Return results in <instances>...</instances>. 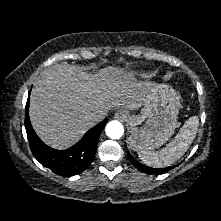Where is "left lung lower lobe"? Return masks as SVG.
Returning <instances> with one entry per match:
<instances>
[{"label":"left lung lower lobe","instance_id":"obj_1","mask_svg":"<svg viewBox=\"0 0 221 221\" xmlns=\"http://www.w3.org/2000/svg\"><path fill=\"white\" fill-rule=\"evenodd\" d=\"M128 158L130 160V162L138 169L140 170L141 172H144L146 174H158V173H165L173 168H175L176 166L178 165H175V166H171V167H167V168H151V167H148V166H145L141 163H139L138 161H136L132 156L131 154L128 152Z\"/></svg>","mask_w":221,"mask_h":221}]
</instances>
